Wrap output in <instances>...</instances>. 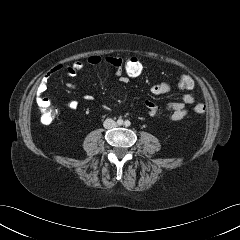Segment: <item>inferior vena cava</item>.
Masks as SVG:
<instances>
[{"mask_svg": "<svg viewBox=\"0 0 240 240\" xmlns=\"http://www.w3.org/2000/svg\"><path fill=\"white\" fill-rule=\"evenodd\" d=\"M103 125L106 129H112L117 127V124L113 119H106Z\"/></svg>", "mask_w": 240, "mask_h": 240, "instance_id": "1", "label": "inferior vena cava"}]
</instances>
